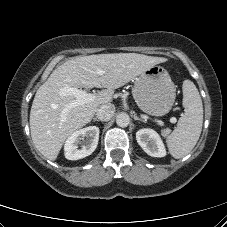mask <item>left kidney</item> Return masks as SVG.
Masks as SVG:
<instances>
[{
	"instance_id": "1",
	"label": "left kidney",
	"mask_w": 227,
	"mask_h": 227,
	"mask_svg": "<svg viewBox=\"0 0 227 227\" xmlns=\"http://www.w3.org/2000/svg\"><path fill=\"white\" fill-rule=\"evenodd\" d=\"M136 140L141 148L152 157H164L166 149L160 135L152 129H140Z\"/></svg>"
}]
</instances>
